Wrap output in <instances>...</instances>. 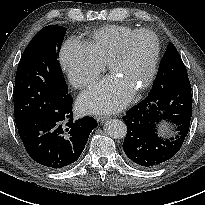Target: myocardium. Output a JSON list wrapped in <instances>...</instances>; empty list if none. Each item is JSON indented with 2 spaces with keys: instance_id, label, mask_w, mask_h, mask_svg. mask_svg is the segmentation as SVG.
I'll return each instance as SVG.
<instances>
[{
  "instance_id": "1",
  "label": "myocardium",
  "mask_w": 205,
  "mask_h": 205,
  "mask_svg": "<svg viewBox=\"0 0 205 205\" xmlns=\"http://www.w3.org/2000/svg\"><path fill=\"white\" fill-rule=\"evenodd\" d=\"M140 35H150L154 39L155 52H154V56H153V59H152V63H151V67H150V71L148 73V76L145 79V81L143 82V84L134 91L135 94L141 93L144 90H146L148 87H150L151 84L153 83L155 77H156L158 66H159V61H160V56H161V43H160L159 37L152 30L137 29V30L130 33L129 35H127L124 38V40L122 41L119 49L110 58V60L107 63V69L110 71L111 68L115 64H117L118 62H120L121 60H123L126 57V54H127L128 47H129L130 43L136 37H138Z\"/></svg>"
}]
</instances>
